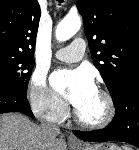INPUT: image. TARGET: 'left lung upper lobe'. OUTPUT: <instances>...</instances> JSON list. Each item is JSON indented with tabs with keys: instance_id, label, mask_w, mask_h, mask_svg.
I'll return each instance as SVG.
<instances>
[{
	"instance_id": "5c2ea615",
	"label": "left lung upper lobe",
	"mask_w": 139,
	"mask_h": 150,
	"mask_svg": "<svg viewBox=\"0 0 139 150\" xmlns=\"http://www.w3.org/2000/svg\"><path fill=\"white\" fill-rule=\"evenodd\" d=\"M93 63L114 100L139 75V0H76Z\"/></svg>"
}]
</instances>
